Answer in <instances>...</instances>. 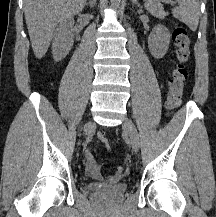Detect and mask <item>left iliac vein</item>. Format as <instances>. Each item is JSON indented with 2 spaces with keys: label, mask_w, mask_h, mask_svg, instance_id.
Here are the masks:
<instances>
[{
  "label": "left iliac vein",
  "mask_w": 216,
  "mask_h": 217,
  "mask_svg": "<svg viewBox=\"0 0 216 217\" xmlns=\"http://www.w3.org/2000/svg\"><path fill=\"white\" fill-rule=\"evenodd\" d=\"M122 127L130 139L132 149L136 152L139 147V135L135 125L129 118H126L123 122Z\"/></svg>",
  "instance_id": "4c4485c4"
}]
</instances>
